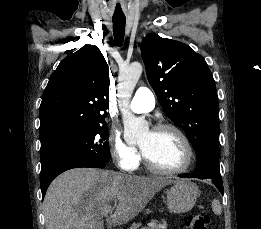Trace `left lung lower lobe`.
<instances>
[{
  "label": "left lung lower lobe",
  "mask_w": 261,
  "mask_h": 229,
  "mask_svg": "<svg viewBox=\"0 0 261 229\" xmlns=\"http://www.w3.org/2000/svg\"><path fill=\"white\" fill-rule=\"evenodd\" d=\"M182 178L212 179L218 190L223 194V182L220 174L219 153L217 149H210L198 158L197 169L194 173L181 174Z\"/></svg>",
  "instance_id": "obj_1"
}]
</instances>
